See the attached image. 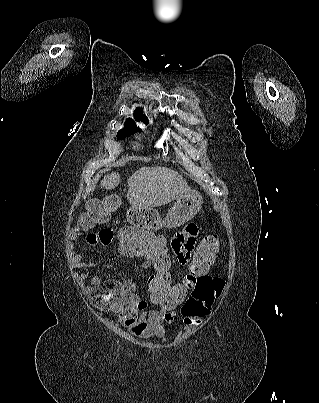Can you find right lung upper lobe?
I'll return each mask as SVG.
<instances>
[{"label":"right lung upper lobe","instance_id":"1","mask_svg":"<svg viewBox=\"0 0 319 403\" xmlns=\"http://www.w3.org/2000/svg\"><path fill=\"white\" fill-rule=\"evenodd\" d=\"M141 112H142V111H141V110H138V109L135 111V117H136V119H137V120H142V121L148 120ZM127 120L132 121V119H127Z\"/></svg>","mask_w":319,"mask_h":403}]
</instances>
